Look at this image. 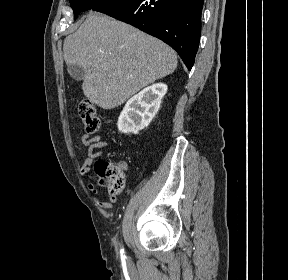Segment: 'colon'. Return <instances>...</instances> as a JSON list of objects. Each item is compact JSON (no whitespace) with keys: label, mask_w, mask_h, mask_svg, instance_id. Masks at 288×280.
<instances>
[{"label":"colon","mask_w":288,"mask_h":280,"mask_svg":"<svg viewBox=\"0 0 288 280\" xmlns=\"http://www.w3.org/2000/svg\"><path fill=\"white\" fill-rule=\"evenodd\" d=\"M78 112L88 133H95L100 129V119L91 100H82L79 103ZM95 173L99 183L108 188L109 194L116 196L123 190L124 169L121 163L98 160L95 163Z\"/></svg>","instance_id":"colon-1"}]
</instances>
